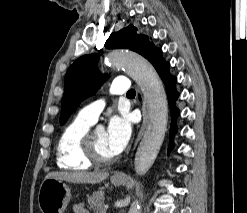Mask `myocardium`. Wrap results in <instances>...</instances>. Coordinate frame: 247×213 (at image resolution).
Returning <instances> with one entry per match:
<instances>
[{
	"instance_id": "1",
	"label": "myocardium",
	"mask_w": 247,
	"mask_h": 213,
	"mask_svg": "<svg viewBox=\"0 0 247 213\" xmlns=\"http://www.w3.org/2000/svg\"><path fill=\"white\" fill-rule=\"evenodd\" d=\"M94 132L93 130H88L82 137L80 142V150L83 159L91 165H109L115 161V157L111 158H101L97 155L94 146Z\"/></svg>"
}]
</instances>
